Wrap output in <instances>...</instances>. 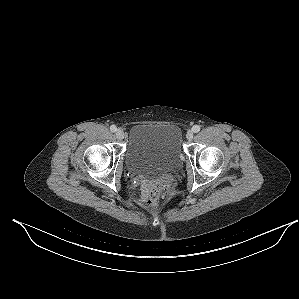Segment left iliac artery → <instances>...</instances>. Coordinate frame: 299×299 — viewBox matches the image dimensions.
<instances>
[{
	"label": "left iliac artery",
	"instance_id": "left-iliac-artery-1",
	"mask_svg": "<svg viewBox=\"0 0 299 299\" xmlns=\"http://www.w3.org/2000/svg\"><path fill=\"white\" fill-rule=\"evenodd\" d=\"M200 129H201V128H200L199 125H195V126H193L192 131L195 132V133H197V132L200 131Z\"/></svg>",
	"mask_w": 299,
	"mask_h": 299
}]
</instances>
